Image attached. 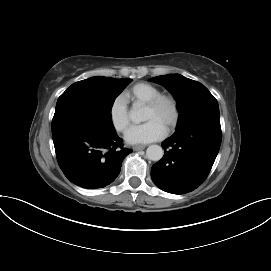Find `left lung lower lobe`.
Segmentation results:
<instances>
[{"label": "left lung lower lobe", "mask_w": 271, "mask_h": 271, "mask_svg": "<svg viewBox=\"0 0 271 271\" xmlns=\"http://www.w3.org/2000/svg\"><path fill=\"white\" fill-rule=\"evenodd\" d=\"M221 138L220 120H201L176 129L162 143L165 155L152 166L153 182L172 194L193 191L208 176Z\"/></svg>", "instance_id": "0a47b994"}]
</instances>
